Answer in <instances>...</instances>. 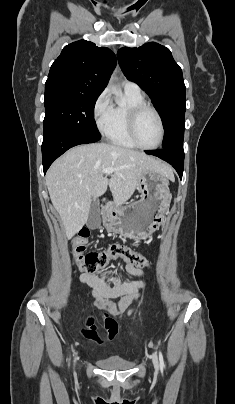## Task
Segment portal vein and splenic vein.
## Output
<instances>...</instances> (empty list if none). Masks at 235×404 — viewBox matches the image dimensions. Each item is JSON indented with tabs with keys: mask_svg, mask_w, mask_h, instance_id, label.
<instances>
[{
	"mask_svg": "<svg viewBox=\"0 0 235 404\" xmlns=\"http://www.w3.org/2000/svg\"><path fill=\"white\" fill-rule=\"evenodd\" d=\"M113 172H114V169H113V168H105V169H103V171H102V173H103V174H106V175L112 174Z\"/></svg>",
	"mask_w": 235,
	"mask_h": 404,
	"instance_id": "18ae733b",
	"label": "portal vein and splenic vein"
}]
</instances>
